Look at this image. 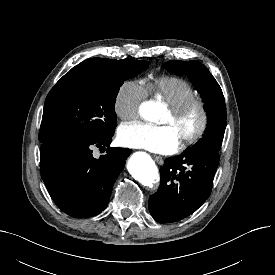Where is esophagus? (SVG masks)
Instances as JSON below:
<instances>
[{
	"instance_id": "1",
	"label": "esophagus",
	"mask_w": 275,
	"mask_h": 275,
	"mask_svg": "<svg viewBox=\"0 0 275 275\" xmlns=\"http://www.w3.org/2000/svg\"><path fill=\"white\" fill-rule=\"evenodd\" d=\"M154 159H155V161L159 164V165H162L163 164V159H162V157H160V156H157V155H154Z\"/></svg>"
}]
</instances>
